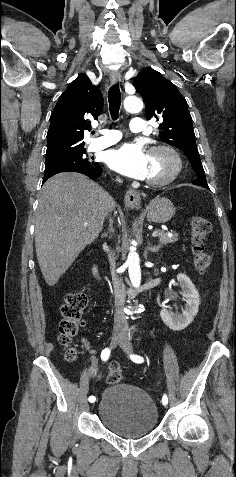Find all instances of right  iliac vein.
Wrapping results in <instances>:
<instances>
[{
  "mask_svg": "<svg viewBox=\"0 0 236 477\" xmlns=\"http://www.w3.org/2000/svg\"><path fill=\"white\" fill-rule=\"evenodd\" d=\"M124 338V335L121 333V332H115L113 335H112V338H111V347L112 348H115ZM99 395V393H97ZM97 402H98V399H96ZM97 404V403H96ZM91 405V407L93 408L92 411L95 409V407L97 405Z\"/></svg>",
  "mask_w": 236,
  "mask_h": 477,
  "instance_id": "obj_1",
  "label": "right iliac vein"
}]
</instances>
